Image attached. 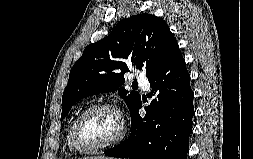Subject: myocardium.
<instances>
[{
  "label": "myocardium",
  "mask_w": 253,
  "mask_h": 159,
  "mask_svg": "<svg viewBox=\"0 0 253 159\" xmlns=\"http://www.w3.org/2000/svg\"><path fill=\"white\" fill-rule=\"evenodd\" d=\"M99 109H109L111 110L113 113L116 114L118 121H119V130L116 134V136L114 138H112L110 141L95 146V147H83L80 142H79V128L80 125L82 123V121L84 120V118L91 112L95 111V110H99ZM126 131H127V125H126V120L125 117L122 113V111L113 103L110 102H101V103H96L93 104L87 108H85L75 119L74 124L72 126V130H71V145L72 147L80 152V153H84V154H91V153H95L98 151H102L108 148H111L115 145H117L118 143H120L125 135H126Z\"/></svg>",
  "instance_id": "myocardium-1"
}]
</instances>
